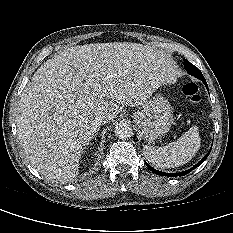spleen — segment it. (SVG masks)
<instances>
[{
	"instance_id": "1",
	"label": "spleen",
	"mask_w": 233,
	"mask_h": 233,
	"mask_svg": "<svg viewBox=\"0 0 233 233\" xmlns=\"http://www.w3.org/2000/svg\"><path fill=\"white\" fill-rule=\"evenodd\" d=\"M201 144L199 129L191 127L177 141L163 147L145 145V158L156 168H174L189 162L198 152Z\"/></svg>"
}]
</instances>
